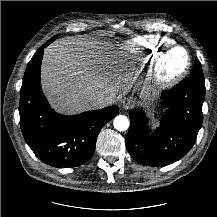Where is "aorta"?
I'll return each instance as SVG.
<instances>
[{
	"label": "aorta",
	"instance_id": "aorta-1",
	"mask_svg": "<svg viewBox=\"0 0 217 217\" xmlns=\"http://www.w3.org/2000/svg\"><path fill=\"white\" fill-rule=\"evenodd\" d=\"M114 128L118 131H125L129 128V120L124 115H119L114 119Z\"/></svg>",
	"mask_w": 217,
	"mask_h": 217
}]
</instances>
